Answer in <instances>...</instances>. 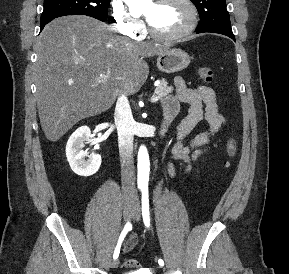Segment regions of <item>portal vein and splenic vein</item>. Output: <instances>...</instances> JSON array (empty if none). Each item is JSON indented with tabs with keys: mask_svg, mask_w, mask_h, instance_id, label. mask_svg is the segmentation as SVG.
Instances as JSON below:
<instances>
[{
	"mask_svg": "<svg viewBox=\"0 0 289 274\" xmlns=\"http://www.w3.org/2000/svg\"><path fill=\"white\" fill-rule=\"evenodd\" d=\"M159 100V97L157 95H153L151 97V102H157Z\"/></svg>",
	"mask_w": 289,
	"mask_h": 274,
	"instance_id": "portal-vein-and-splenic-vein-1",
	"label": "portal vein and splenic vein"
}]
</instances>
